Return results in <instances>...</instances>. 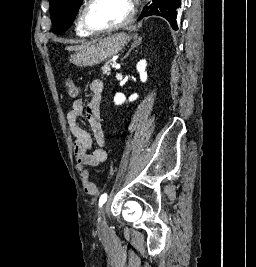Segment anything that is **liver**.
Returning a JSON list of instances; mask_svg holds the SVG:
<instances>
[{
    "mask_svg": "<svg viewBox=\"0 0 256 267\" xmlns=\"http://www.w3.org/2000/svg\"><path fill=\"white\" fill-rule=\"evenodd\" d=\"M94 42H97V40H93V42H84V44H81V46H69V48H66L68 52H80L82 48H85V46H90V44H94Z\"/></svg>",
    "mask_w": 256,
    "mask_h": 267,
    "instance_id": "6515ba94",
    "label": "liver"
}]
</instances>
